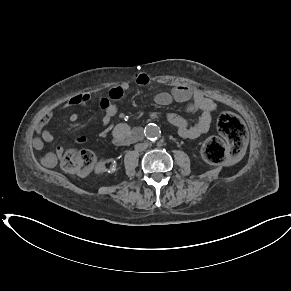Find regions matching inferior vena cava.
Here are the masks:
<instances>
[{"mask_svg":"<svg viewBox=\"0 0 291 291\" xmlns=\"http://www.w3.org/2000/svg\"><path fill=\"white\" fill-rule=\"evenodd\" d=\"M148 144L147 143H139L135 145V149L138 151H143L145 149H147Z\"/></svg>","mask_w":291,"mask_h":291,"instance_id":"obj_1","label":"inferior vena cava"}]
</instances>
